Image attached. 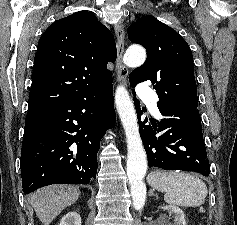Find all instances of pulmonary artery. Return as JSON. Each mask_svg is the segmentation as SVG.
<instances>
[{
  "mask_svg": "<svg viewBox=\"0 0 237 225\" xmlns=\"http://www.w3.org/2000/svg\"><path fill=\"white\" fill-rule=\"evenodd\" d=\"M136 91L139 97L142 99V101L148 104L153 113L157 116H160L157 108V101H158L157 95L154 92H152L145 84H140L137 87Z\"/></svg>",
  "mask_w": 237,
  "mask_h": 225,
  "instance_id": "pulmonary-artery-1",
  "label": "pulmonary artery"
}]
</instances>
